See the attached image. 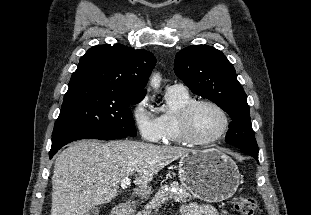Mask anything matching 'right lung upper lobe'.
Masks as SVG:
<instances>
[{
	"instance_id": "1",
	"label": "right lung upper lobe",
	"mask_w": 311,
	"mask_h": 215,
	"mask_svg": "<svg viewBox=\"0 0 311 215\" xmlns=\"http://www.w3.org/2000/svg\"><path fill=\"white\" fill-rule=\"evenodd\" d=\"M155 63L154 55L146 50L121 44L97 45L81 57L69 87L88 85L145 95Z\"/></svg>"
}]
</instances>
